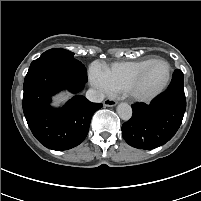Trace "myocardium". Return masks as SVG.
Wrapping results in <instances>:
<instances>
[{"label": "myocardium", "mask_w": 201, "mask_h": 201, "mask_svg": "<svg viewBox=\"0 0 201 201\" xmlns=\"http://www.w3.org/2000/svg\"><path fill=\"white\" fill-rule=\"evenodd\" d=\"M157 62H162L166 64L167 66V76L165 81L154 91L150 93H141L138 91V85L146 73V71L149 69L151 65ZM172 77V67L169 64L168 61H166L163 58H155L151 60L149 63H147L144 67H142L135 75L134 77L128 82L126 85L124 92L125 94L132 100L137 102H148L159 96L170 84Z\"/></svg>", "instance_id": "f54148a6"}]
</instances>
